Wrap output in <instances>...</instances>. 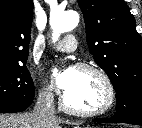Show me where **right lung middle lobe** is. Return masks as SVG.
Segmentation results:
<instances>
[{"mask_svg": "<svg viewBox=\"0 0 142 128\" xmlns=\"http://www.w3.org/2000/svg\"><path fill=\"white\" fill-rule=\"evenodd\" d=\"M34 83L26 65L0 67V103L31 105Z\"/></svg>", "mask_w": 142, "mask_h": 128, "instance_id": "1", "label": "right lung middle lobe"}]
</instances>
